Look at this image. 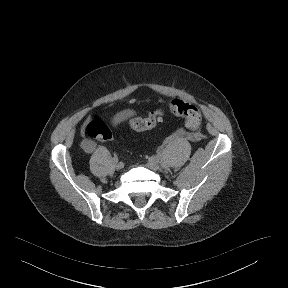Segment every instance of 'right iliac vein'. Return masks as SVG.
Wrapping results in <instances>:
<instances>
[{"instance_id": "obj_1", "label": "right iliac vein", "mask_w": 288, "mask_h": 288, "mask_svg": "<svg viewBox=\"0 0 288 288\" xmlns=\"http://www.w3.org/2000/svg\"><path fill=\"white\" fill-rule=\"evenodd\" d=\"M113 164H114V167L117 169V170H120L123 168V164L121 162H118V161H114L113 160Z\"/></svg>"}]
</instances>
